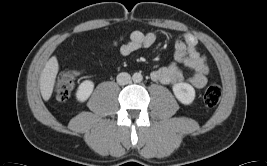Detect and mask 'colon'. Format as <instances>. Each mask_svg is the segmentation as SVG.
<instances>
[{
    "label": "colon",
    "mask_w": 267,
    "mask_h": 166,
    "mask_svg": "<svg viewBox=\"0 0 267 166\" xmlns=\"http://www.w3.org/2000/svg\"><path fill=\"white\" fill-rule=\"evenodd\" d=\"M74 88L73 76L69 73L56 83L55 94L60 101H66L71 96ZM221 87L217 83L208 85L203 93V102L206 106L213 107L218 104L221 98Z\"/></svg>",
    "instance_id": "5ec220e1"
}]
</instances>
